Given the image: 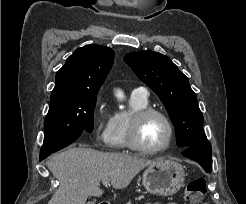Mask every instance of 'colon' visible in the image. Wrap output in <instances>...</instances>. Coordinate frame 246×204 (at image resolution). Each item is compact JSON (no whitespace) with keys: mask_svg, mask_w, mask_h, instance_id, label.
<instances>
[{"mask_svg":"<svg viewBox=\"0 0 246 204\" xmlns=\"http://www.w3.org/2000/svg\"><path fill=\"white\" fill-rule=\"evenodd\" d=\"M207 195V184L203 177L191 180L185 190V197L191 204H207L205 198Z\"/></svg>","mask_w":246,"mask_h":204,"instance_id":"1","label":"colon"}]
</instances>
